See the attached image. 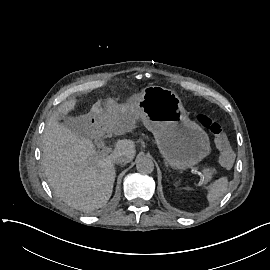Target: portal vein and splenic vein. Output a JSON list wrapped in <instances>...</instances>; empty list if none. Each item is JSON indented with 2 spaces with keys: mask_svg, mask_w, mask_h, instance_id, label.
<instances>
[{
  "mask_svg": "<svg viewBox=\"0 0 270 270\" xmlns=\"http://www.w3.org/2000/svg\"><path fill=\"white\" fill-rule=\"evenodd\" d=\"M99 153L101 155H105V154H108V153H112V150H110V148L108 147H104V148H101L99 150ZM191 170L194 171L195 173H198L200 174L201 173V170H199V168H194V167H191ZM203 176V175H202Z\"/></svg>",
  "mask_w": 270,
  "mask_h": 270,
  "instance_id": "obj_1",
  "label": "portal vein and splenic vein"
}]
</instances>
